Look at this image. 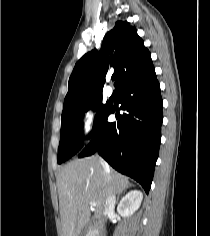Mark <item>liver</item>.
<instances>
[{
    "label": "liver",
    "instance_id": "obj_1",
    "mask_svg": "<svg viewBox=\"0 0 210 236\" xmlns=\"http://www.w3.org/2000/svg\"><path fill=\"white\" fill-rule=\"evenodd\" d=\"M130 185L128 178L102 167L98 157L75 159L65 165L57 177L59 209L63 236H79L90 222V203L93 219L101 221L106 198L123 192Z\"/></svg>",
    "mask_w": 210,
    "mask_h": 236
}]
</instances>
